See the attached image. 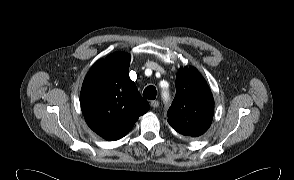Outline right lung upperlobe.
Segmentation results:
<instances>
[{"mask_svg": "<svg viewBox=\"0 0 294 180\" xmlns=\"http://www.w3.org/2000/svg\"><path fill=\"white\" fill-rule=\"evenodd\" d=\"M130 56L116 52L100 59L82 85L81 110L88 126L108 141L124 137L149 110L129 77Z\"/></svg>", "mask_w": 294, "mask_h": 180, "instance_id": "obj_1", "label": "right lung upper lobe"}]
</instances>
